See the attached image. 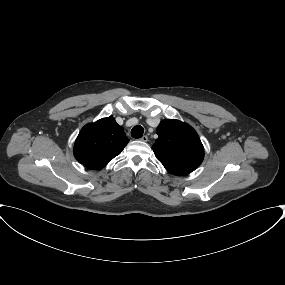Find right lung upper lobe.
Returning <instances> with one entry per match:
<instances>
[{"label":"right lung upper lobe","instance_id":"1","mask_svg":"<svg viewBox=\"0 0 285 285\" xmlns=\"http://www.w3.org/2000/svg\"><path fill=\"white\" fill-rule=\"evenodd\" d=\"M129 142L124 129L110 116L85 125L74 144V156L88 169L100 170Z\"/></svg>","mask_w":285,"mask_h":285}]
</instances>
